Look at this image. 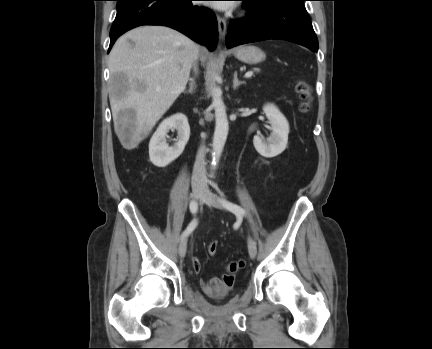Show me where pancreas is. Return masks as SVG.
<instances>
[{"mask_svg":"<svg viewBox=\"0 0 432 349\" xmlns=\"http://www.w3.org/2000/svg\"><path fill=\"white\" fill-rule=\"evenodd\" d=\"M255 71H259V69H254Z\"/></svg>","mask_w":432,"mask_h":349,"instance_id":"pancreas-1","label":"pancreas"}]
</instances>
